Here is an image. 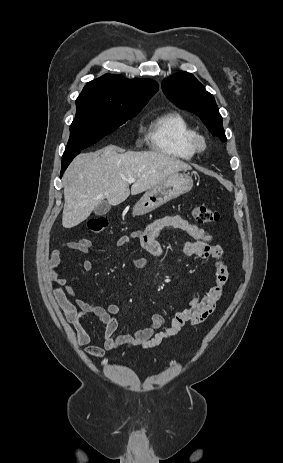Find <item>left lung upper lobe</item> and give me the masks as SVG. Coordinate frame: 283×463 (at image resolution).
Here are the masks:
<instances>
[{"label": "left lung upper lobe", "instance_id": "obj_1", "mask_svg": "<svg viewBox=\"0 0 283 463\" xmlns=\"http://www.w3.org/2000/svg\"><path fill=\"white\" fill-rule=\"evenodd\" d=\"M162 89L170 101L195 113L214 136L226 141L222 117L213 95L191 73H178L165 79Z\"/></svg>", "mask_w": 283, "mask_h": 463}]
</instances>
